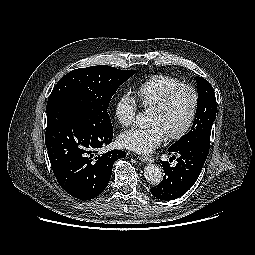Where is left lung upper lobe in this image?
Segmentation results:
<instances>
[{
  "label": "left lung upper lobe",
  "instance_id": "obj_1",
  "mask_svg": "<svg viewBox=\"0 0 255 255\" xmlns=\"http://www.w3.org/2000/svg\"><path fill=\"white\" fill-rule=\"evenodd\" d=\"M198 100L196 117L191 130L170 146L172 149L182 148L191 144L210 145L212 124L216 118V98L213 87L202 78L196 77Z\"/></svg>",
  "mask_w": 255,
  "mask_h": 255
}]
</instances>
